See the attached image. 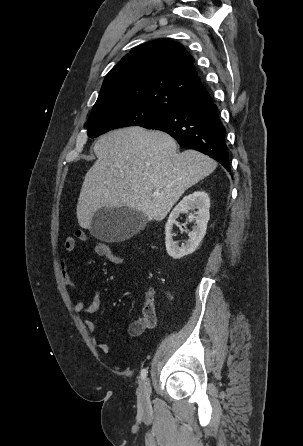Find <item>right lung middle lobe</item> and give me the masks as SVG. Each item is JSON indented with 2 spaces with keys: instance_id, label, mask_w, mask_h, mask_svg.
<instances>
[{
  "instance_id": "obj_1",
  "label": "right lung middle lobe",
  "mask_w": 303,
  "mask_h": 446,
  "mask_svg": "<svg viewBox=\"0 0 303 446\" xmlns=\"http://www.w3.org/2000/svg\"><path fill=\"white\" fill-rule=\"evenodd\" d=\"M166 112L143 104H108L93 108L88 127V136L97 137L110 130L140 126L154 117Z\"/></svg>"
}]
</instances>
